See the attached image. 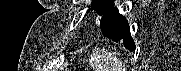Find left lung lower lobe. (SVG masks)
I'll list each match as a JSON object with an SVG mask.
<instances>
[{
    "label": "left lung lower lobe",
    "instance_id": "left-lung-lower-lobe-1",
    "mask_svg": "<svg viewBox=\"0 0 181 71\" xmlns=\"http://www.w3.org/2000/svg\"><path fill=\"white\" fill-rule=\"evenodd\" d=\"M100 27L103 34L114 41L122 40L125 47L135 51L134 40L131 38L128 22L117 8H112L102 16Z\"/></svg>",
    "mask_w": 181,
    "mask_h": 71
}]
</instances>
